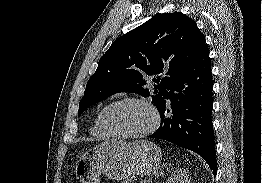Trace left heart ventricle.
Masks as SVG:
<instances>
[{"mask_svg":"<svg viewBox=\"0 0 262 183\" xmlns=\"http://www.w3.org/2000/svg\"><path fill=\"white\" fill-rule=\"evenodd\" d=\"M111 130L119 134H136L147 130L152 122L151 111L138 103H125L112 108L106 115Z\"/></svg>","mask_w":262,"mask_h":183,"instance_id":"b2bd125f","label":"left heart ventricle"}]
</instances>
